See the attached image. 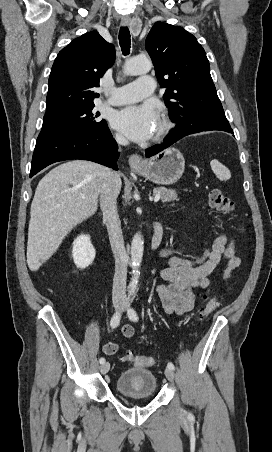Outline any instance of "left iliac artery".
<instances>
[{"instance_id":"44dca946","label":"left iliac artery","mask_w":272,"mask_h":452,"mask_svg":"<svg viewBox=\"0 0 272 452\" xmlns=\"http://www.w3.org/2000/svg\"><path fill=\"white\" fill-rule=\"evenodd\" d=\"M128 317H129V319L130 320H132V321H138V315H137V313H136V311L133 309V308H130L129 310H128ZM167 367L168 368H170V369H172V370H174L175 369V366H174V364L172 363V362H169L168 363V365H167ZM191 415V414H190Z\"/></svg>"}]
</instances>
